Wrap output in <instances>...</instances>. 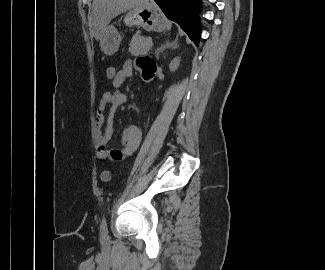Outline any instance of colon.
<instances>
[{
  "label": "colon",
  "instance_id": "1",
  "mask_svg": "<svg viewBox=\"0 0 325 270\" xmlns=\"http://www.w3.org/2000/svg\"><path fill=\"white\" fill-rule=\"evenodd\" d=\"M117 72H118V70L116 69V67L114 65H108L105 70V75H106L107 80L113 83L116 80ZM110 178H111V173L108 170L103 171L100 175V179L103 182L109 181Z\"/></svg>",
  "mask_w": 325,
  "mask_h": 270
}]
</instances>
